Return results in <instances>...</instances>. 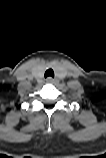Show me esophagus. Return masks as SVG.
<instances>
[{"mask_svg":"<svg viewBox=\"0 0 106 158\" xmlns=\"http://www.w3.org/2000/svg\"><path fill=\"white\" fill-rule=\"evenodd\" d=\"M46 82L52 84V83H55V82H56V79L53 78V77H48V78L46 79Z\"/></svg>","mask_w":106,"mask_h":158,"instance_id":"esophagus-1","label":"esophagus"}]
</instances>
